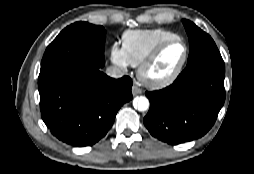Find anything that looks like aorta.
I'll return each instance as SVG.
<instances>
[{
	"label": "aorta",
	"instance_id": "762f6f07",
	"mask_svg": "<svg viewBox=\"0 0 254 174\" xmlns=\"http://www.w3.org/2000/svg\"><path fill=\"white\" fill-rule=\"evenodd\" d=\"M133 106L139 111H146L149 108V100L144 96L136 97Z\"/></svg>",
	"mask_w": 254,
	"mask_h": 174
}]
</instances>
